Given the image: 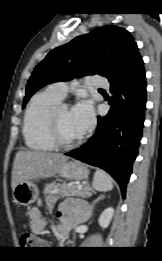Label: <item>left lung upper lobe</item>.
Listing matches in <instances>:
<instances>
[{"instance_id": "5c2ea615", "label": "left lung upper lobe", "mask_w": 162, "mask_h": 261, "mask_svg": "<svg viewBox=\"0 0 162 261\" xmlns=\"http://www.w3.org/2000/svg\"><path fill=\"white\" fill-rule=\"evenodd\" d=\"M141 59L137 44L126 29L99 27L48 53L28 80L23 107L47 84L94 74L111 81Z\"/></svg>"}]
</instances>
